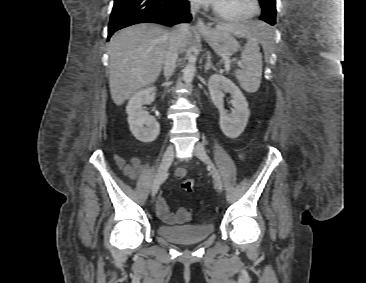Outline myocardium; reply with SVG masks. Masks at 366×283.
Instances as JSON below:
<instances>
[{
    "mask_svg": "<svg viewBox=\"0 0 366 283\" xmlns=\"http://www.w3.org/2000/svg\"><path fill=\"white\" fill-rule=\"evenodd\" d=\"M260 8L261 5L259 0H251V10L244 14H229L220 11L215 5L212 6L213 13L216 15V17L226 22H237L251 19L258 15Z\"/></svg>",
    "mask_w": 366,
    "mask_h": 283,
    "instance_id": "f54148a6",
    "label": "myocardium"
}]
</instances>
